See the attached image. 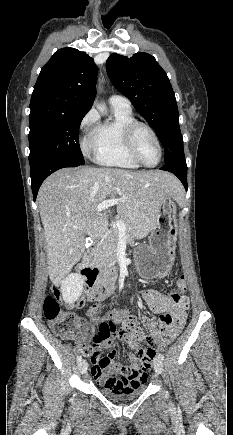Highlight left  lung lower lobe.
Here are the masks:
<instances>
[{"mask_svg":"<svg viewBox=\"0 0 233 435\" xmlns=\"http://www.w3.org/2000/svg\"><path fill=\"white\" fill-rule=\"evenodd\" d=\"M160 169L175 174L187 190V165L184 156L178 157L177 159L166 163Z\"/></svg>","mask_w":233,"mask_h":435,"instance_id":"1","label":"left lung lower lobe"}]
</instances>
